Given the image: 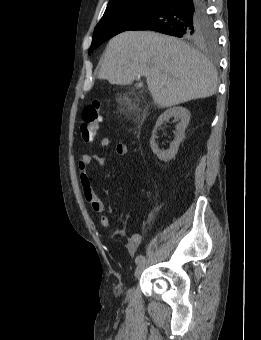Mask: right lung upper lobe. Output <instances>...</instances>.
<instances>
[{
    "instance_id": "right-lung-upper-lobe-1",
    "label": "right lung upper lobe",
    "mask_w": 261,
    "mask_h": 340,
    "mask_svg": "<svg viewBox=\"0 0 261 340\" xmlns=\"http://www.w3.org/2000/svg\"><path fill=\"white\" fill-rule=\"evenodd\" d=\"M135 1H143V0H110L107 6V9L115 7V6L131 3V2H135ZM148 1H161V0H148Z\"/></svg>"
}]
</instances>
